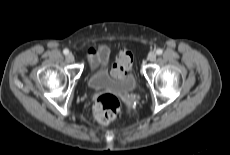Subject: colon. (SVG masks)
<instances>
[{"label":"colon","mask_w":230,"mask_h":155,"mask_svg":"<svg viewBox=\"0 0 230 155\" xmlns=\"http://www.w3.org/2000/svg\"><path fill=\"white\" fill-rule=\"evenodd\" d=\"M124 59L131 65L132 54L129 51H125ZM120 109V101L115 95L103 94L97 98L94 104L93 116L97 122L106 124L116 118Z\"/></svg>","instance_id":"colon-1"}]
</instances>
